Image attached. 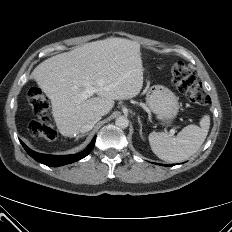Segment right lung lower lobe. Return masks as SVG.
Wrapping results in <instances>:
<instances>
[{
	"label": "right lung lower lobe",
	"mask_w": 232,
	"mask_h": 232,
	"mask_svg": "<svg viewBox=\"0 0 232 232\" xmlns=\"http://www.w3.org/2000/svg\"><path fill=\"white\" fill-rule=\"evenodd\" d=\"M95 140L96 137L93 138V140L91 141L90 145L87 147L86 150H84L83 152H80L78 154L75 155H47V154H41V153H37L33 150H31L30 148H28L22 141L21 144L24 147V149L26 150V152L32 157L34 158L36 161L45 164L47 166H62L65 164H70L73 163L75 161H78L84 157H86L92 150V148L94 147L95 144Z\"/></svg>",
	"instance_id": "obj_1"
}]
</instances>
